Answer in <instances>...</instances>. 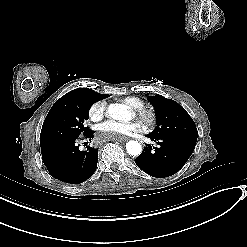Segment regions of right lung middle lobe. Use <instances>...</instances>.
I'll return each mask as SVG.
<instances>
[{"label": "right lung middle lobe", "instance_id": "obj_1", "mask_svg": "<svg viewBox=\"0 0 247 247\" xmlns=\"http://www.w3.org/2000/svg\"><path fill=\"white\" fill-rule=\"evenodd\" d=\"M97 93L88 88L74 89L55 102L48 112L40 134V146L77 139L92 131L84 126L92 104L99 101Z\"/></svg>", "mask_w": 247, "mask_h": 247}]
</instances>
